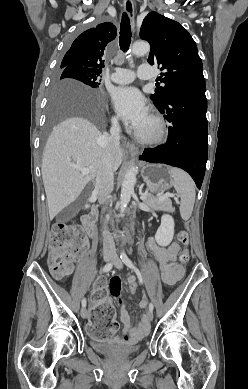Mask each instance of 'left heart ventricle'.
Returning a JSON list of instances; mask_svg holds the SVG:
<instances>
[{
    "label": "left heart ventricle",
    "instance_id": "obj_1",
    "mask_svg": "<svg viewBox=\"0 0 248 389\" xmlns=\"http://www.w3.org/2000/svg\"><path fill=\"white\" fill-rule=\"evenodd\" d=\"M138 131L144 134H151L154 131V125L152 121L148 118Z\"/></svg>",
    "mask_w": 248,
    "mask_h": 389
}]
</instances>
